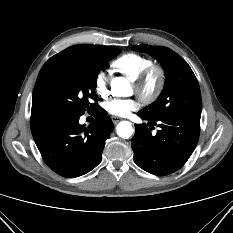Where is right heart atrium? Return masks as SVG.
Returning <instances> with one entry per match:
<instances>
[{"label": "right heart atrium", "instance_id": "obj_1", "mask_svg": "<svg viewBox=\"0 0 233 233\" xmlns=\"http://www.w3.org/2000/svg\"><path fill=\"white\" fill-rule=\"evenodd\" d=\"M94 88L96 93L101 97L108 95V75L105 71H99L94 79Z\"/></svg>", "mask_w": 233, "mask_h": 233}]
</instances>
